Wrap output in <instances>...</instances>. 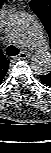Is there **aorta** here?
<instances>
[{
    "instance_id": "obj_1",
    "label": "aorta",
    "mask_w": 51,
    "mask_h": 153,
    "mask_svg": "<svg viewBox=\"0 0 51 153\" xmlns=\"http://www.w3.org/2000/svg\"><path fill=\"white\" fill-rule=\"evenodd\" d=\"M6 29L11 40L35 50L31 57L32 70L38 75H47L51 71V54L43 26L27 12L16 11L9 18Z\"/></svg>"
}]
</instances>
